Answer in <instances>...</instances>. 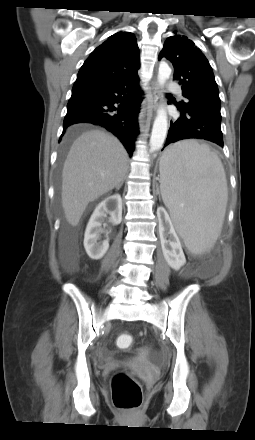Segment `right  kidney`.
<instances>
[{
  "label": "right kidney",
  "instance_id": "right-kidney-1",
  "mask_svg": "<svg viewBox=\"0 0 255 440\" xmlns=\"http://www.w3.org/2000/svg\"><path fill=\"white\" fill-rule=\"evenodd\" d=\"M109 212V221L118 225L122 221V199L119 194L112 195L97 205L87 224L84 234V248L88 256L93 260L101 259L109 248L108 231L107 239L101 241L102 222Z\"/></svg>",
  "mask_w": 255,
  "mask_h": 440
}]
</instances>
